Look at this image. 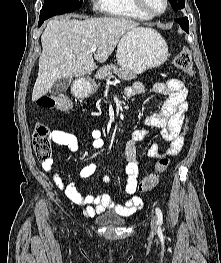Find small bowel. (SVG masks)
<instances>
[{
	"label": "small bowel",
	"instance_id": "1",
	"mask_svg": "<svg viewBox=\"0 0 221 263\" xmlns=\"http://www.w3.org/2000/svg\"><path fill=\"white\" fill-rule=\"evenodd\" d=\"M146 93H157L165 96V100L159 111L149 115L145 119V124L150 127L159 128L162 137L171 144L165 152H161L158 145L153 143L148 147L147 155L151 158L175 156L182 151L185 144V135L188 131L187 88L183 82L177 79H171L164 83H154L150 86H146L141 82H135L125 89V95L127 97H135ZM147 134V129L136 130L125 143V172L127 181L124 186V193L128 196V199L124 204H116L106 192H101L98 195H85L78 190L74 183L65 184L61 174L54 169L52 160H43L42 168L51 175L56 187L63 191L71 202L86 207V216L94 217L106 210H113L121 216H130L143 205L142 199L135 195L139 175L136 143L142 140ZM90 137L93 149L103 148L105 142L100 130L92 129L90 131ZM50 138L55 144L67 147L72 152L78 150V139L72 133L63 130H54L51 132ZM95 171V165L88 164L81 169L80 176L82 178H88L92 176ZM104 180L108 181V177H105Z\"/></svg>",
	"mask_w": 221,
	"mask_h": 263
}]
</instances>
